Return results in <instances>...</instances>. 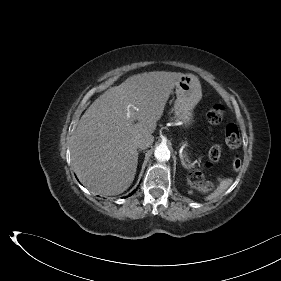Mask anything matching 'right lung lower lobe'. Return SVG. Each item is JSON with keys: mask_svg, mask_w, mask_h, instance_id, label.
Instances as JSON below:
<instances>
[{"mask_svg": "<svg viewBox=\"0 0 281 281\" xmlns=\"http://www.w3.org/2000/svg\"><path fill=\"white\" fill-rule=\"evenodd\" d=\"M135 191H133L130 195H132Z\"/></svg>", "mask_w": 281, "mask_h": 281, "instance_id": "right-lung-lower-lobe-1", "label": "right lung lower lobe"}]
</instances>
